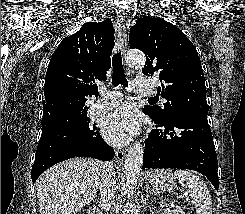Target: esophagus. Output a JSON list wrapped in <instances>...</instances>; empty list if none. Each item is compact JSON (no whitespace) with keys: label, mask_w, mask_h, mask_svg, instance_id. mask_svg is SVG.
<instances>
[{"label":"esophagus","mask_w":245,"mask_h":214,"mask_svg":"<svg viewBox=\"0 0 245 214\" xmlns=\"http://www.w3.org/2000/svg\"><path fill=\"white\" fill-rule=\"evenodd\" d=\"M116 18L120 26V47L122 54L124 55L127 51V29H126V19L125 14L121 9H116ZM126 152L123 150H116V158L118 162L123 161Z\"/></svg>","instance_id":"34e87169"}]
</instances>
